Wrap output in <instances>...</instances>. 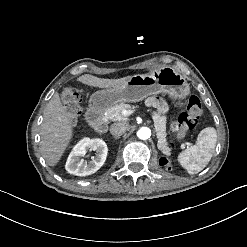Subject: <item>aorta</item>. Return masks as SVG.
Instances as JSON below:
<instances>
[{"instance_id":"obj_1","label":"aorta","mask_w":247,"mask_h":247,"mask_svg":"<svg viewBox=\"0 0 247 247\" xmlns=\"http://www.w3.org/2000/svg\"><path fill=\"white\" fill-rule=\"evenodd\" d=\"M151 136V130L148 127H141L137 131V137L142 140H146Z\"/></svg>"}]
</instances>
